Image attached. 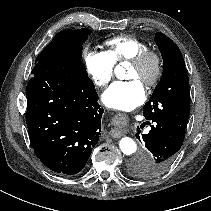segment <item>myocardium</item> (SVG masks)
<instances>
[{
  "label": "myocardium",
  "mask_w": 211,
  "mask_h": 211,
  "mask_svg": "<svg viewBox=\"0 0 211 211\" xmlns=\"http://www.w3.org/2000/svg\"><path fill=\"white\" fill-rule=\"evenodd\" d=\"M130 64L142 68L147 63H152V73L143 79V83L147 87H154L160 80L163 72V59L161 54L152 49H145L137 53L129 60Z\"/></svg>",
  "instance_id": "obj_1"
}]
</instances>
